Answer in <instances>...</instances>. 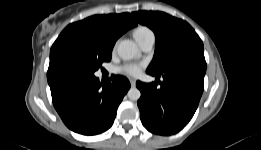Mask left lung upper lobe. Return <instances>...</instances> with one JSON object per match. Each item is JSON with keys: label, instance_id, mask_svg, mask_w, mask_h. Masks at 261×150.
<instances>
[{"label": "left lung upper lobe", "instance_id": "obj_1", "mask_svg": "<svg viewBox=\"0 0 261 150\" xmlns=\"http://www.w3.org/2000/svg\"><path fill=\"white\" fill-rule=\"evenodd\" d=\"M132 15L156 36L154 57L147 71L162 74L187 59L205 62L202 40L187 22L158 11H138Z\"/></svg>", "mask_w": 261, "mask_h": 150}]
</instances>
